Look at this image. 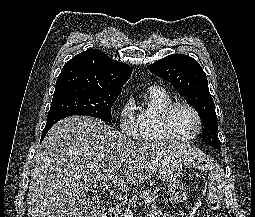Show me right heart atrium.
<instances>
[{
    "mask_svg": "<svg viewBox=\"0 0 255 217\" xmlns=\"http://www.w3.org/2000/svg\"><path fill=\"white\" fill-rule=\"evenodd\" d=\"M118 129L127 137L136 135V115L131 100H126L119 108L117 114Z\"/></svg>",
    "mask_w": 255,
    "mask_h": 217,
    "instance_id": "d8ad5b80",
    "label": "right heart atrium"
}]
</instances>
